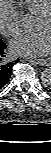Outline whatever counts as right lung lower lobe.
Listing matches in <instances>:
<instances>
[{"label":"right lung lower lobe","instance_id":"1","mask_svg":"<svg viewBox=\"0 0 51 153\" xmlns=\"http://www.w3.org/2000/svg\"><path fill=\"white\" fill-rule=\"evenodd\" d=\"M6 45L0 40V89L9 81L14 62H7L4 53Z\"/></svg>","mask_w":51,"mask_h":153}]
</instances>
